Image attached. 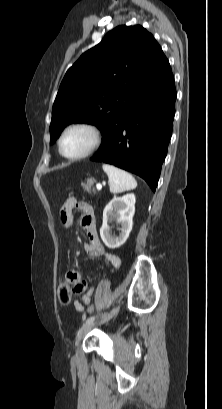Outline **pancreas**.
Masks as SVG:
<instances>
[{"label":"pancreas","mask_w":222,"mask_h":409,"mask_svg":"<svg viewBox=\"0 0 222 409\" xmlns=\"http://www.w3.org/2000/svg\"><path fill=\"white\" fill-rule=\"evenodd\" d=\"M94 182H95L94 179H88L86 184L84 183L82 184L87 193H91V192L95 193L94 189H92Z\"/></svg>","instance_id":"obj_1"}]
</instances>
